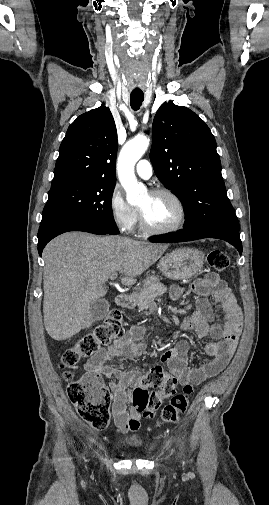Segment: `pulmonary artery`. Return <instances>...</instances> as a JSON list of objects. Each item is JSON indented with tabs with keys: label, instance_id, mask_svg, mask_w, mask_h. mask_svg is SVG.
Masks as SVG:
<instances>
[{
	"label": "pulmonary artery",
	"instance_id": "e3ab8cb5",
	"mask_svg": "<svg viewBox=\"0 0 269 505\" xmlns=\"http://www.w3.org/2000/svg\"><path fill=\"white\" fill-rule=\"evenodd\" d=\"M136 173L143 179H149L153 173L151 163L146 159L140 160L136 165Z\"/></svg>",
	"mask_w": 269,
	"mask_h": 505
}]
</instances>
